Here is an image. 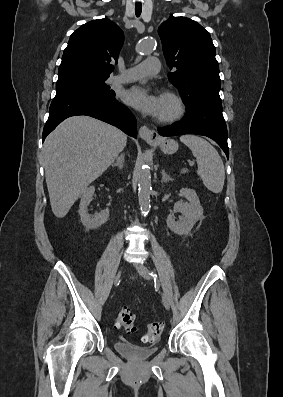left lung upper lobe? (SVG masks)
I'll list each match as a JSON object with an SVG mask.
<instances>
[{
    "instance_id": "obj_1",
    "label": "left lung upper lobe",
    "mask_w": 283,
    "mask_h": 397,
    "mask_svg": "<svg viewBox=\"0 0 283 397\" xmlns=\"http://www.w3.org/2000/svg\"><path fill=\"white\" fill-rule=\"evenodd\" d=\"M158 34L171 73L170 82L178 88L186 107L207 105L222 109L221 80L210 33L185 17H169Z\"/></svg>"
}]
</instances>
